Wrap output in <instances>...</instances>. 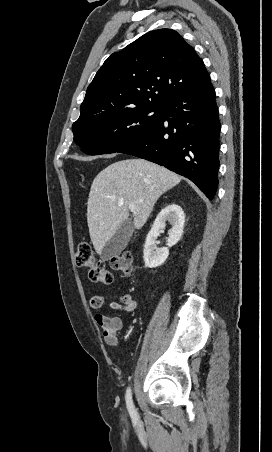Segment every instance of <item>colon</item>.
<instances>
[{
  "instance_id": "obj_1",
  "label": "colon",
  "mask_w": 272,
  "mask_h": 452,
  "mask_svg": "<svg viewBox=\"0 0 272 452\" xmlns=\"http://www.w3.org/2000/svg\"><path fill=\"white\" fill-rule=\"evenodd\" d=\"M75 263L78 267L86 268L92 282L98 284H110L113 281V274L104 263L97 261L91 245L87 242L79 243L75 254ZM111 267L120 271L124 275H130L133 270L132 256L125 253L115 256L111 260Z\"/></svg>"
}]
</instances>
